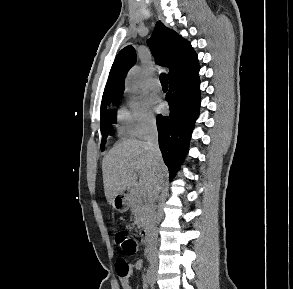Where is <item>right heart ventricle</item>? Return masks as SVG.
Wrapping results in <instances>:
<instances>
[{
  "label": "right heart ventricle",
  "mask_w": 293,
  "mask_h": 289,
  "mask_svg": "<svg viewBox=\"0 0 293 289\" xmlns=\"http://www.w3.org/2000/svg\"><path fill=\"white\" fill-rule=\"evenodd\" d=\"M117 132L123 138L131 137L133 134L129 118L125 110H120L118 113Z\"/></svg>",
  "instance_id": "1"
}]
</instances>
